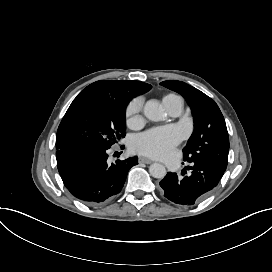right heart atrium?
Listing matches in <instances>:
<instances>
[{
    "instance_id": "right-heart-atrium-1",
    "label": "right heart atrium",
    "mask_w": 272,
    "mask_h": 272,
    "mask_svg": "<svg viewBox=\"0 0 272 272\" xmlns=\"http://www.w3.org/2000/svg\"><path fill=\"white\" fill-rule=\"evenodd\" d=\"M143 100L141 98H135L127 109V121L130 125H136L139 120V112L142 108Z\"/></svg>"
}]
</instances>
